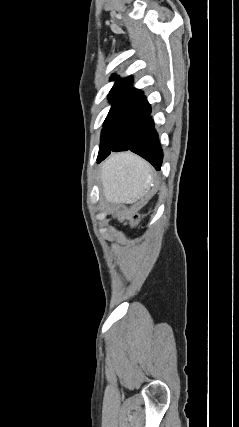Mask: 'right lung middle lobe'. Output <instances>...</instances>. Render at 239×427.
<instances>
[{"label":"right lung middle lobe","mask_w":239,"mask_h":427,"mask_svg":"<svg viewBox=\"0 0 239 427\" xmlns=\"http://www.w3.org/2000/svg\"><path fill=\"white\" fill-rule=\"evenodd\" d=\"M112 107L104 121L97 160L106 158L111 151L130 145L133 134L149 115L151 108L146 100H111Z\"/></svg>","instance_id":"dd1d6c3e"}]
</instances>
